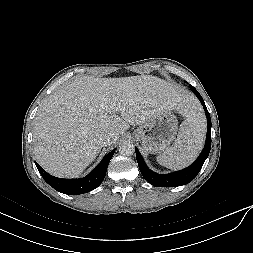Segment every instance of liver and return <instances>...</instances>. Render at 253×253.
Segmentation results:
<instances>
[{"label":"liver","instance_id":"6515ba94","mask_svg":"<svg viewBox=\"0 0 253 253\" xmlns=\"http://www.w3.org/2000/svg\"><path fill=\"white\" fill-rule=\"evenodd\" d=\"M191 98L152 75L81 77L54 91L34 124V155L57 177H77L100 153L102 133L114 145L130 125H143L163 112L185 114Z\"/></svg>","mask_w":253,"mask_h":253}]
</instances>
